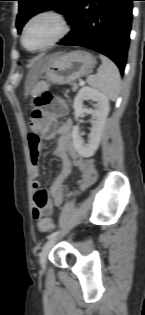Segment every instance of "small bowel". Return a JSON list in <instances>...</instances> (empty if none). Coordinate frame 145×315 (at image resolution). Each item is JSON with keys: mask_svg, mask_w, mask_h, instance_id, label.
Here are the masks:
<instances>
[{"mask_svg": "<svg viewBox=\"0 0 145 315\" xmlns=\"http://www.w3.org/2000/svg\"><path fill=\"white\" fill-rule=\"evenodd\" d=\"M72 127V123L67 121L56 131L58 134V140L56 146L52 150V153L60 158L62 169L50 186V202H48L47 191L45 189H41V183L38 180L39 152L42 146V141L40 140V137L34 133H30L29 137H27L31 177L33 179L32 189L36 191L34 200L37 206L33 208V217L38 221V227L39 222L42 220V216H50L54 208L59 207L64 199L71 194L68 192L65 181L70 175L73 167H76L81 173V178L78 181L80 190H84L91 186L97 178L94 161L82 157L75 149L72 141ZM34 131L35 133H41L45 138H50L52 136V132L45 127H36ZM51 223L54 226L53 220Z\"/></svg>", "mask_w": 145, "mask_h": 315, "instance_id": "obj_1", "label": "small bowel"}]
</instances>
